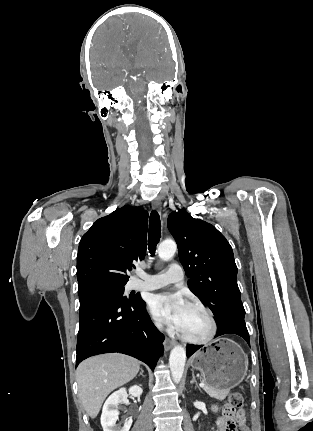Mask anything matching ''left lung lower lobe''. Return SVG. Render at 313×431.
Instances as JSON below:
<instances>
[{
	"label": "left lung lower lobe",
	"instance_id": "1",
	"mask_svg": "<svg viewBox=\"0 0 313 431\" xmlns=\"http://www.w3.org/2000/svg\"><path fill=\"white\" fill-rule=\"evenodd\" d=\"M225 334H236L245 339V341L250 345L249 333L246 328L244 317H233L225 320L221 324L217 325L216 336H221ZM202 346L199 345H188L187 346V357H190L194 352L200 349Z\"/></svg>",
	"mask_w": 313,
	"mask_h": 431
}]
</instances>
